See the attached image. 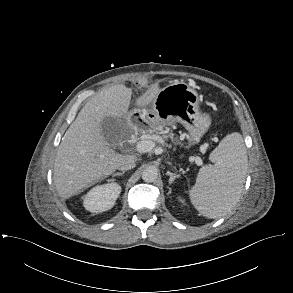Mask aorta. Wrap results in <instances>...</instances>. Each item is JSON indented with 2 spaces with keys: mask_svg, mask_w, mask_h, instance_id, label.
I'll return each instance as SVG.
<instances>
[{
  "mask_svg": "<svg viewBox=\"0 0 293 293\" xmlns=\"http://www.w3.org/2000/svg\"><path fill=\"white\" fill-rule=\"evenodd\" d=\"M158 177V171L155 167H147L142 172V179L145 182H154Z\"/></svg>",
  "mask_w": 293,
  "mask_h": 293,
  "instance_id": "762f6f07",
  "label": "aorta"
}]
</instances>
